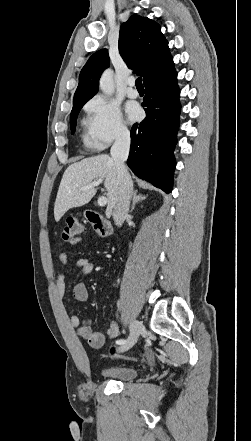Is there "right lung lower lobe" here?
Instances as JSON below:
<instances>
[{
	"mask_svg": "<svg viewBox=\"0 0 251 441\" xmlns=\"http://www.w3.org/2000/svg\"><path fill=\"white\" fill-rule=\"evenodd\" d=\"M142 106L146 118L131 129L127 165L133 173L167 194L173 187L174 148L179 127V88L174 65L149 78Z\"/></svg>",
	"mask_w": 251,
	"mask_h": 441,
	"instance_id": "right-lung-lower-lobe-1",
	"label": "right lung lower lobe"
}]
</instances>
